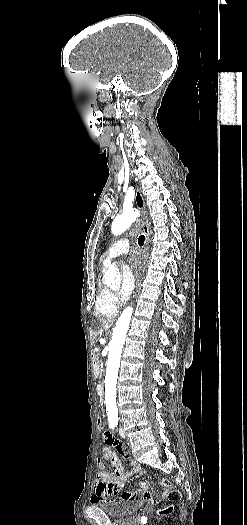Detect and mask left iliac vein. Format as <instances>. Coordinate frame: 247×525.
Returning <instances> with one entry per match:
<instances>
[{"instance_id":"4c4485c4","label":"left iliac vein","mask_w":247,"mask_h":525,"mask_svg":"<svg viewBox=\"0 0 247 525\" xmlns=\"http://www.w3.org/2000/svg\"><path fill=\"white\" fill-rule=\"evenodd\" d=\"M119 435L122 437V438H125V433L123 431L122 428H119Z\"/></svg>"}]
</instances>
